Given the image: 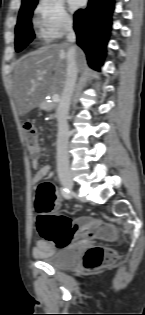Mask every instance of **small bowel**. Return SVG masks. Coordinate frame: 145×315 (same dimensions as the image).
I'll return each instance as SVG.
<instances>
[{
  "label": "small bowel",
  "instance_id": "1",
  "mask_svg": "<svg viewBox=\"0 0 145 315\" xmlns=\"http://www.w3.org/2000/svg\"><path fill=\"white\" fill-rule=\"evenodd\" d=\"M32 164L34 167L38 164V159L34 157L32 159ZM52 172V167L50 165H44L39 168L34 176V182L37 183L40 180L48 177ZM59 202V200H57ZM55 251V243L50 240L39 239L34 248L33 255L37 258H46L54 254Z\"/></svg>",
  "mask_w": 145,
  "mask_h": 315
}]
</instances>
